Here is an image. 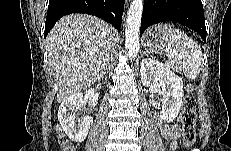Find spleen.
Listing matches in <instances>:
<instances>
[{
  "label": "spleen",
  "instance_id": "1",
  "mask_svg": "<svg viewBox=\"0 0 231 151\" xmlns=\"http://www.w3.org/2000/svg\"><path fill=\"white\" fill-rule=\"evenodd\" d=\"M164 29L168 31L170 37L168 49L173 62H177L183 70L186 78L195 80L200 73L202 61L201 47L187 34L172 29L169 25H164ZM174 55V56H172Z\"/></svg>",
  "mask_w": 231,
  "mask_h": 151
}]
</instances>
